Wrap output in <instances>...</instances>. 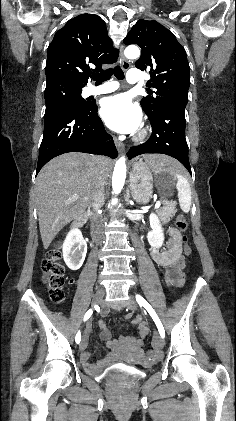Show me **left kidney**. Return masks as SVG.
Returning <instances> with one entry per match:
<instances>
[{"mask_svg": "<svg viewBox=\"0 0 236 421\" xmlns=\"http://www.w3.org/2000/svg\"><path fill=\"white\" fill-rule=\"evenodd\" d=\"M149 221L152 231L147 235L148 243L153 249H160L164 241V233L160 225V219L155 213H151Z\"/></svg>", "mask_w": 236, "mask_h": 421, "instance_id": "1", "label": "left kidney"}]
</instances>
